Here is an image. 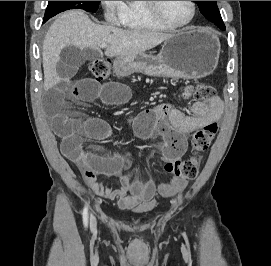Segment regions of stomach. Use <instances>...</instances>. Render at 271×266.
<instances>
[{
	"instance_id": "stomach-1",
	"label": "stomach",
	"mask_w": 271,
	"mask_h": 266,
	"mask_svg": "<svg viewBox=\"0 0 271 266\" xmlns=\"http://www.w3.org/2000/svg\"><path fill=\"white\" fill-rule=\"evenodd\" d=\"M219 54L220 42L212 31L189 28L166 39L157 56L145 52L123 56L117 58L116 66L121 72L198 79L215 70Z\"/></svg>"
}]
</instances>
